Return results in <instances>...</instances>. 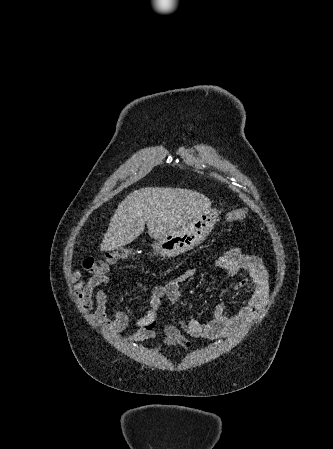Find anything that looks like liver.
I'll list each match as a JSON object with an SVG mask.
<instances>
[{
  "label": "liver",
  "instance_id": "obj_1",
  "mask_svg": "<svg viewBox=\"0 0 333 449\" xmlns=\"http://www.w3.org/2000/svg\"><path fill=\"white\" fill-rule=\"evenodd\" d=\"M210 200L196 191L146 187L135 190L118 205L100 245L101 251L117 250L142 234L158 239L176 231L209 208Z\"/></svg>",
  "mask_w": 333,
  "mask_h": 449
}]
</instances>
